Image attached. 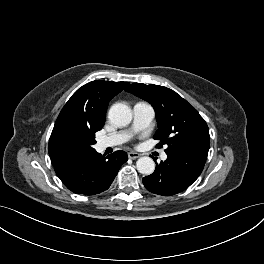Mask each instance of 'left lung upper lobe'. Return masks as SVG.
I'll return each mask as SVG.
<instances>
[{"instance_id": "5c2ea615", "label": "left lung upper lobe", "mask_w": 264, "mask_h": 264, "mask_svg": "<svg viewBox=\"0 0 264 264\" xmlns=\"http://www.w3.org/2000/svg\"><path fill=\"white\" fill-rule=\"evenodd\" d=\"M126 91L149 102L155 109L158 130L153 136L167 145L166 153L182 148L207 158L210 136L205 120L175 91L142 83L131 84Z\"/></svg>"}]
</instances>
